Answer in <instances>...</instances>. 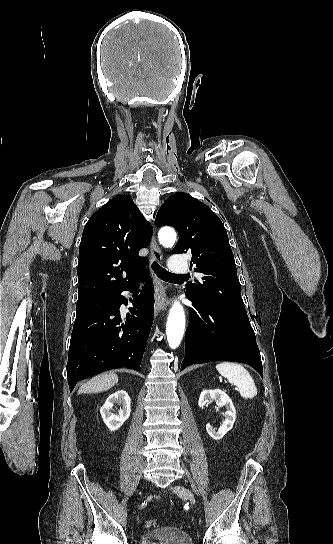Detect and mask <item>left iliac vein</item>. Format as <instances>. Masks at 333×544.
Masks as SVG:
<instances>
[{
  "label": "left iliac vein",
  "mask_w": 333,
  "mask_h": 544,
  "mask_svg": "<svg viewBox=\"0 0 333 544\" xmlns=\"http://www.w3.org/2000/svg\"><path fill=\"white\" fill-rule=\"evenodd\" d=\"M172 491L176 493L179 497L187 499L191 504L195 505L196 503L195 497L189 489L178 485V486L172 487Z\"/></svg>",
  "instance_id": "left-iliac-vein-1"
}]
</instances>
